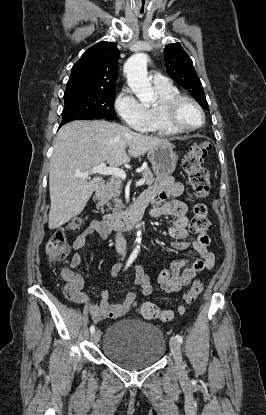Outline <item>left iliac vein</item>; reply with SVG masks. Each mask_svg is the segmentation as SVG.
<instances>
[{
    "label": "left iliac vein",
    "instance_id": "left-iliac-vein-1",
    "mask_svg": "<svg viewBox=\"0 0 266 415\" xmlns=\"http://www.w3.org/2000/svg\"><path fill=\"white\" fill-rule=\"evenodd\" d=\"M170 350H171V353L174 357L176 368H177L178 372L183 373L184 365H183L181 347H180L179 342L174 338L170 339Z\"/></svg>",
    "mask_w": 266,
    "mask_h": 415
}]
</instances>
